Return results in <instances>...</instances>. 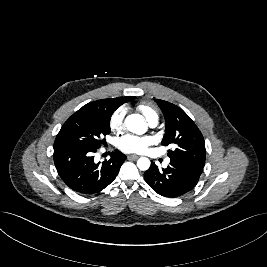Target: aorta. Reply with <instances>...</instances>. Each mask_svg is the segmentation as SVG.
I'll use <instances>...</instances> for the list:
<instances>
[{
  "label": "aorta",
  "mask_w": 267,
  "mask_h": 267,
  "mask_svg": "<svg viewBox=\"0 0 267 267\" xmlns=\"http://www.w3.org/2000/svg\"><path fill=\"white\" fill-rule=\"evenodd\" d=\"M126 128L136 134H144L147 131V124L144 121L143 117L139 114H131L128 115L124 121ZM150 160L146 157H141L137 161V167L142 170L146 171L150 167Z\"/></svg>",
  "instance_id": "1"
}]
</instances>
